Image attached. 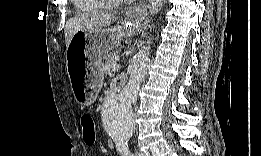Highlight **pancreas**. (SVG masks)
Masks as SVG:
<instances>
[{
  "instance_id": "1",
  "label": "pancreas",
  "mask_w": 261,
  "mask_h": 156,
  "mask_svg": "<svg viewBox=\"0 0 261 156\" xmlns=\"http://www.w3.org/2000/svg\"><path fill=\"white\" fill-rule=\"evenodd\" d=\"M118 62V53L117 52H110L105 63L102 64L100 68V72L102 75H106L111 73L112 66L117 64Z\"/></svg>"
}]
</instances>
